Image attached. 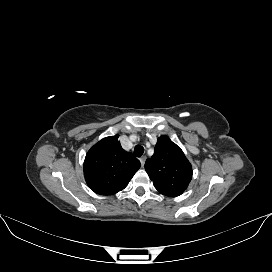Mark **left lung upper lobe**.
<instances>
[{
	"label": "left lung upper lobe",
	"mask_w": 272,
	"mask_h": 272,
	"mask_svg": "<svg viewBox=\"0 0 272 272\" xmlns=\"http://www.w3.org/2000/svg\"><path fill=\"white\" fill-rule=\"evenodd\" d=\"M145 170L155 188L169 197L181 195L192 179L191 164L166 135L158 138L153 156L146 160Z\"/></svg>",
	"instance_id": "1"
}]
</instances>
